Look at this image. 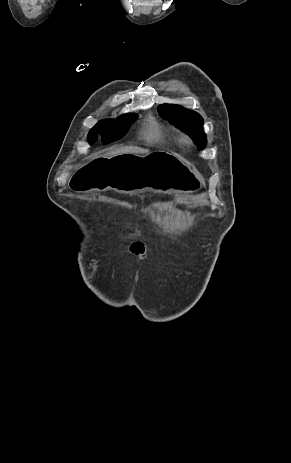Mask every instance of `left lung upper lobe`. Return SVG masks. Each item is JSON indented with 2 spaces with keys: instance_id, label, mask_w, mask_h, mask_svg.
Masks as SVG:
<instances>
[{
  "instance_id": "left-lung-upper-lobe-1",
  "label": "left lung upper lobe",
  "mask_w": 291,
  "mask_h": 463,
  "mask_svg": "<svg viewBox=\"0 0 291 463\" xmlns=\"http://www.w3.org/2000/svg\"><path fill=\"white\" fill-rule=\"evenodd\" d=\"M158 112L162 118L190 135L200 149L205 147L206 135L203 131V119L198 113L171 104L159 105Z\"/></svg>"
}]
</instances>
